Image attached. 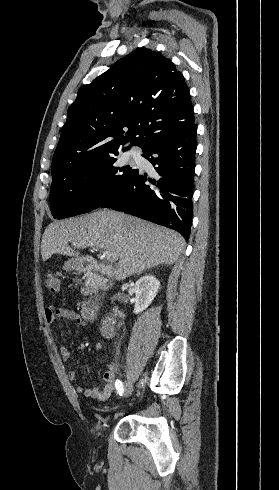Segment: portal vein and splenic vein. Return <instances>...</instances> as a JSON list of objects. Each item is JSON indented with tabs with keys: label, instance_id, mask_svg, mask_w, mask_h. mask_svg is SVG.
<instances>
[{
	"label": "portal vein and splenic vein",
	"instance_id": "1",
	"mask_svg": "<svg viewBox=\"0 0 279 490\" xmlns=\"http://www.w3.org/2000/svg\"><path fill=\"white\" fill-rule=\"evenodd\" d=\"M103 256H106L107 260H109V262H115V260H117V256H114V254H111V252H105V254H103Z\"/></svg>",
	"mask_w": 279,
	"mask_h": 490
}]
</instances>
